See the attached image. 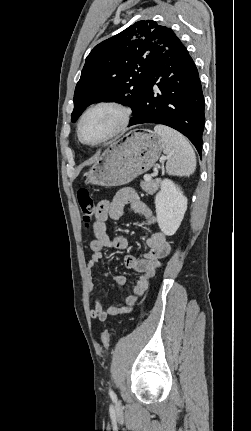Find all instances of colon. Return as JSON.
<instances>
[{
	"mask_svg": "<svg viewBox=\"0 0 251 431\" xmlns=\"http://www.w3.org/2000/svg\"><path fill=\"white\" fill-rule=\"evenodd\" d=\"M77 202L80 208L83 221L88 224L96 216L95 202L90 192L85 188L77 191ZM111 328H107L101 335V342L105 349H108L111 342Z\"/></svg>",
	"mask_w": 251,
	"mask_h": 431,
	"instance_id": "1",
	"label": "colon"
}]
</instances>
